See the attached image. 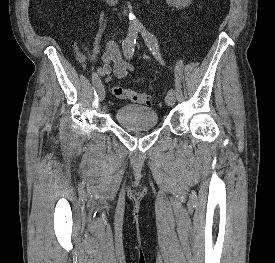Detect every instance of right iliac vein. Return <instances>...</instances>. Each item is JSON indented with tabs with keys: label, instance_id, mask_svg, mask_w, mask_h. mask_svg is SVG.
<instances>
[{
	"label": "right iliac vein",
	"instance_id": "obj_1",
	"mask_svg": "<svg viewBox=\"0 0 275 263\" xmlns=\"http://www.w3.org/2000/svg\"><path fill=\"white\" fill-rule=\"evenodd\" d=\"M98 96L100 100H103L105 98V89L102 85L98 87Z\"/></svg>",
	"mask_w": 275,
	"mask_h": 263
}]
</instances>
